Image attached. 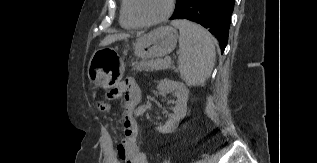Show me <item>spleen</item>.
I'll return each mask as SVG.
<instances>
[{
	"mask_svg": "<svg viewBox=\"0 0 317 163\" xmlns=\"http://www.w3.org/2000/svg\"><path fill=\"white\" fill-rule=\"evenodd\" d=\"M171 24L180 31L178 68L182 80L188 86H203L215 64L212 35L187 20H175Z\"/></svg>",
	"mask_w": 317,
	"mask_h": 163,
	"instance_id": "1",
	"label": "spleen"
}]
</instances>
